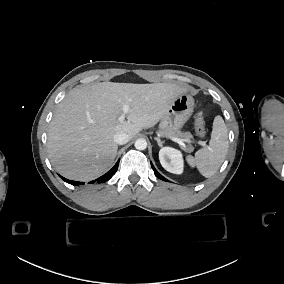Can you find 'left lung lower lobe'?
Wrapping results in <instances>:
<instances>
[{"mask_svg":"<svg viewBox=\"0 0 284 284\" xmlns=\"http://www.w3.org/2000/svg\"><path fill=\"white\" fill-rule=\"evenodd\" d=\"M151 166H152V168H153V170H154L155 175H156L159 179L164 180V181H167V180L154 168V166H153L152 163H151Z\"/></svg>","mask_w":284,"mask_h":284,"instance_id":"1","label":"left lung lower lobe"}]
</instances>
